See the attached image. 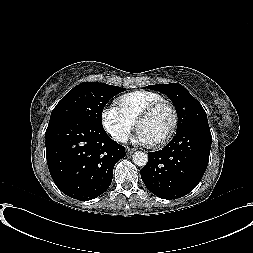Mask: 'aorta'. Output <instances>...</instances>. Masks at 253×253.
Listing matches in <instances>:
<instances>
[{"label": "aorta", "instance_id": "762f6f07", "mask_svg": "<svg viewBox=\"0 0 253 253\" xmlns=\"http://www.w3.org/2000/svg\"><path fill=\"white\" fill-rule=\"evenodd\" d=\"M132 160L137 166H145L148 162V155L145 152L137 151L132 155Z\"/></svg>", "mask_w": 253, "mask_h": 253}]
</instances>
